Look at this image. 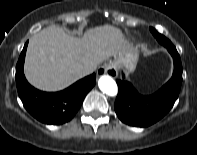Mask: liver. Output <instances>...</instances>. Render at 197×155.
I'll list each match as a JSON object with an SVG mask.
<instances>
[{
    "mask_svg": "<svg viewBox=\"0 0 197 155\" xmlns=\"http://www.w3.org/2000/svg\"><path fill=\"white\" fill-rule=\"evenodd\" d=\"M129 49L122 32L111 25L89 29L82 38L52 25L29 40L24 73L36 88L58 91L84 77V66L96 69L102 61Z\"/></svg>",
    "mask_w": 197,
    "mask_h": 155,
    "instance_id": "obj_1",
    "label": "liver"
}]
</instances>
